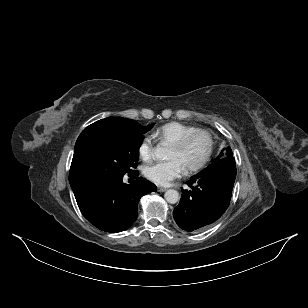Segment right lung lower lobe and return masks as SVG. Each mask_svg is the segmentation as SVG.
I'll return each instance as SVG.
<instances>
[{
  "mask_svg": "<svg viewBox=\"0 0 308 308\" xmlns=\"http://www.w3.org/2000/svg\"><path fill=\"white\" fill-rule=\"evenodd\" d=\"M138 177V172L133 174ZM83 216L102 231L116 233L129 228L137 217L139 199L156 185L137 178L134 184L120 177L86 176L71 186Z\"/></svg>",
  "mask_w": 308,
  "mask_h": 308,
  "instance_id": "1",
  "label": "right lung lower lobe"
}]
</instances>
